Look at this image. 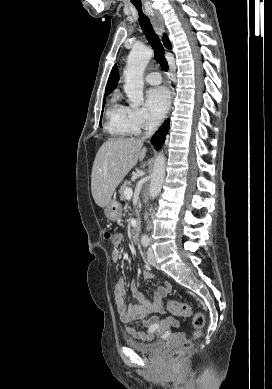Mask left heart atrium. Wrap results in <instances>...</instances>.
I'll return each instance as SVG.
<instances>
[{
	"mask_svg": "<svg viewBox=\"0 0 272 389\" xmlns=\"http://www.w3.org/2000/svg\"><path fill=\"white\" fill-rule=\"evenodd\" d=\"M170 104L169 92L164 87H154L146 92L145 105L153 119H161Z\"/></svg>",
	"mask_w": 272,
	"mask_h": 389,
	"instance_id": "left-heart-atrium-1",
	"label": "left heart atrium"
}]
</instances>
